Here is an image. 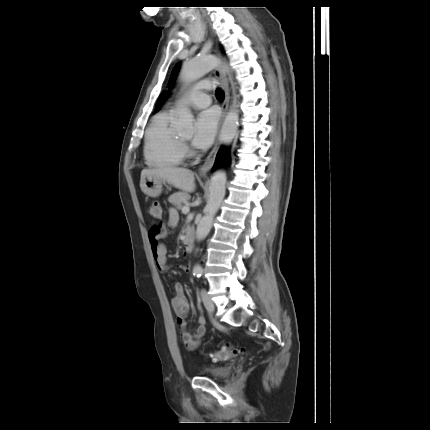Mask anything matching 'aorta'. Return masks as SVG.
Listing matches in <instances>:
<instances>
[{
    "label": "aorta",
    "instance_id": "1",
    "mask_svg": "<svg viewBox=\"0 0 430 430\" xmlns=\"http://www.w3.org/2000/svg\"><path fill=\"white\" fill-rule=\"evenodd\" d=\"M220 65V60L213 55L197 56L186 60L182 65L183 80L186 83L195 81L212 69ZM239 121L237 109H232L226 116L221 128L220 141L228 145L234 138ZM177 129L181 132L190 133L193 130V115L188 109H180L178 111ZM226 174L223 169L215 171L210 181V195L206 206V213L200 220L196 229V238L203 240L209 234L214 216L217 213L220 204L225 196ZM201 267L196 265L194 271H200Z\"/></svg>",
    "mask_w": 430,
    "mask_h": 430
}]
</instances>
